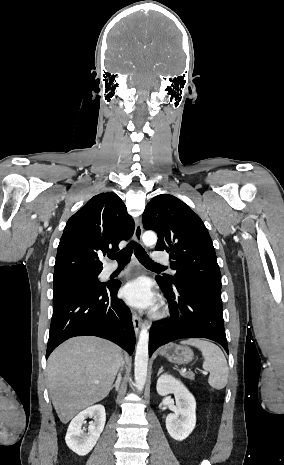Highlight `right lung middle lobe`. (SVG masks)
Instances as JSON below:
<instances>
[{
    "label": "right lung middle lobe",
    "mask_w": 284,
    "mask_h": 465,
    "mask_svg": "<svg viewBox=\"0 0 284 465\" xmlns=\"http://www.w3.org/2000/svg\"><path fill=\"white\" fill-rule=\"evenodd\" d=\"M99 274H88V275H79L70 278H64L59 280H54L53 282V294L54 296L59 293L73 288L79 287H104L107 284L100 282L98 279Z\"/></svg>",
    "instance_id": "1"
}]
</instances>
